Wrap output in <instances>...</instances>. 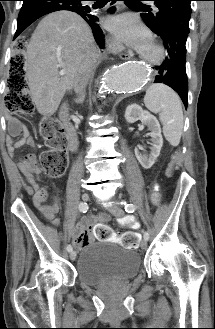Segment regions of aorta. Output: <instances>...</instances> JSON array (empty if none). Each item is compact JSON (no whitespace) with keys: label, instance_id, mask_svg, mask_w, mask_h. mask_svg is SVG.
<instances>
[{"label":"aorta","instance_id":"1","mask_svg":"<svg viewBox=\"0 0 215 329\" xmlns=\"http://www.w3.org/2000/svg\"><path fill=\"white\" fill-rule=\"evenodd\" d=\"M148 77L147 69L139 63H115L100 79L99 94L135 92L144 86Z\"/></svg>","mask_w":215,"mask_h":329}]
</instances>
